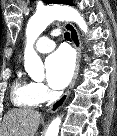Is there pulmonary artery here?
<instances>
[{
    "instance_id": "e3ab8cb5",
    "label": "pulmonary artery",
    "mask_w": 117,
    "mask_h": 136,
    "mask_svg": "<svg viewBox=\"0 0 117 136\" xmlns=\"http://www.w3.org/2000/svg\"><path fill=\"white\" fill-rule=\"evenodd\" d=\"M53 36H44V37H41L37 41V43L35 45L36 50L39 53H48V52H50L55 47V41L53 39Z\"/></svg>"
}]
</instances>
